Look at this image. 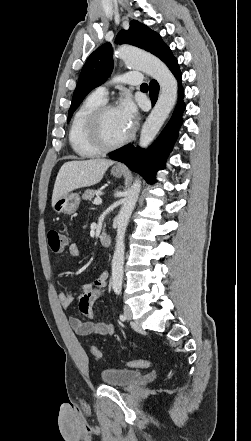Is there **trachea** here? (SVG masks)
Wrapping results in <instances>:
<instances>
[{
    "mask_svg": "<svg viewBox=\"0 0 251 441\" xmlns=\"http://www.w3.org/2000/svg\"><path fill=\"white\" fill-rule=\"evenodd\" d=\"M141 88H148V85L146 83H142Z\"/></svg>",
    "mask_w": 251,
    "mask_h": 441,
    "instance_id": "1",
    "label": "trachea"
}]
</instances>
